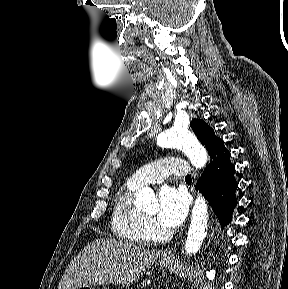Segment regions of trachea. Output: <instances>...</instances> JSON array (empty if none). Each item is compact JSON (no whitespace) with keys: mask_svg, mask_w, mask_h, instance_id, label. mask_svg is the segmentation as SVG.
Wrapping results in <instances>:
<instances>
[{"mask_svg":"<svg viewBox=\"0 0 288 289\" xmlns=\"http://www.w3.org/2000/svg\"><path fill=\"white\" fill-rule=\"evenodd\" d=\"M191 179H192L191 175H187L186 178H185V180H191Z\"/></svg>","mask_w":288,"mask_h":289,"instance_id":"1","label":"trachea"}]
</instances>
